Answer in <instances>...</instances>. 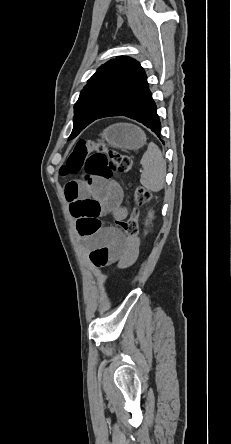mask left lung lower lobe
I'll use <instances>...</instances> for the list:
<instances>
[{
    "mask_svg": "<svg viewBox=\"0 0 231 444\" xmlns=\"http://www.w3.org/2000/svg\"><path fill=\"white\" fill-rule=\"evenodd\" d=\"M113 116H126L135 119L138 122L144 124L146 127L150 128L159 137L161 124L156 112L155 102L152 99V94L148 87L147 80Z\"/></svg>",
    "mask_w": 231,
    "mask_h": 444,
    "instance_id": "1",
    "label": "left lung lower lobe"
}]
</instances>
